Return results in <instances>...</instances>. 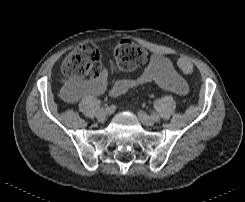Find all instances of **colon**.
<instances>
[{
	"label": "colon",
	"instance_id": "1",
	"mask_svg": "<svg viewBox=\"0 0 245 202\" xmlns=\"http://www.w3.org/2000/svg\"><path fill=\"white\" fill-rule=\"evenodd\" d=\"M100 54L94 45L85 43L75 48L61 63L60 69L65 76L62 95L69 99L77 79L95 76L99 73ZM148 61V53L131 40L122 39L115 45V64L123 71H134L143 67ZM193 69L191 62L182 65L181 70L189 74Z\"/></svg>",
	"mask_w": 245,
	"mask_h": 202
}]
</instances>
